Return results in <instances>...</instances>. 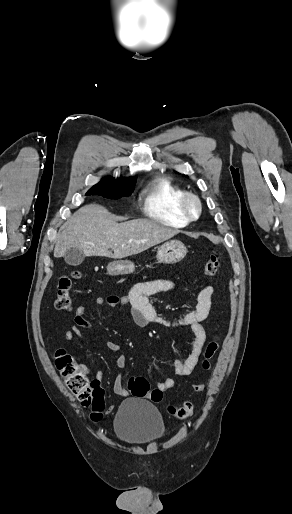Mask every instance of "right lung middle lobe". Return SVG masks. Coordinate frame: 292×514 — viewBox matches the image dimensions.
Returning <instances> with one entry per match:
<instances>
[{
    "label": "right lung middle lobe",
    "mask_w": 292,
    "mask_h": 514,
    "mask_svg": "<svg viewBox=\"0 0 292 514\" xmlns=\"http://www.w3.org/2000/svg\"><path fill=\"white\" fill-rule=\"evenodd\" d=\"M134 181L101 180L94 185L86 195H99L108 199H119L132 194L135 186Z\"/></svg>",
    "instance_id": "obj_1"
}]
</instances>
